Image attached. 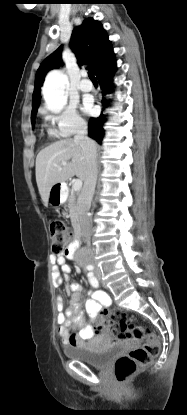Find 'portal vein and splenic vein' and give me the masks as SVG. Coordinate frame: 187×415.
Wrapping results in <instances>:
<instances>
[{
  "instance_id": "portal-vein-and-splenic-vein-1",
  "label": "portal vein and splenic vein",
  "mask_w": 187,
  "mask_h": 415,
  "mask_svg": "<svg viewBox=\"0 0 187 415\" xmlns=\"http://www.w3.org/2000/svg\"><path fill=\"white\" fill-rule=\"evenodd\" d=\"M66 162H63L62 165H66ZM82 187V180L76 179L73 183L72 189L73 191H79Z\"/></svg>"
}]
</instances>
